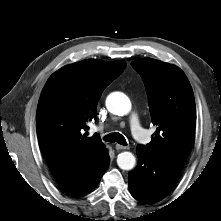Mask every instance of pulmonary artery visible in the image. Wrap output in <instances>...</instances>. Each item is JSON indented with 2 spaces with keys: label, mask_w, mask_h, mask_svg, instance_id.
Segmentation results:
<instances>
[{
  "label": "pulmonary artery",
  "mask_w": 221,
  "mask_h": 221,
  "mask_svg": "<svg viewBox=\"0 0 221 221\" xmlns=\"http://www.w3.org/2000/svg\"><path fill=\"white\" fill-rule=\"evenodd\" d=\"M130 129H131V133H132L133 137L137 141L142 142L145 140L146 132L142 128L139 118H138L137 114H135V113L132 114V116L130 118Z\"/></svg>",
  "instance_id": "pulmonary-artery-1"
}]
</instances>
